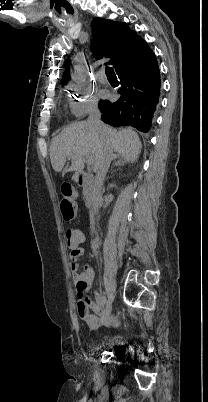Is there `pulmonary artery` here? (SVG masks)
Returning a JSON list of instances; mask_svg holds the SVG:
<instances>
[{
    "label": "pulmonary artery",
    "mask_w": 208,
    "mask_h": 402,
    "mask_svg": "<svg viewBox=\"0 0 208 402\" xmlns=\"http://www.w3.org/2000/svg\"><path fill=\"white\" fill-rule=\"evenodd\" d=\"M97 73L99 76H106L108 73V70L106 67H99L97 70Z\"/></svg>",
    "instance_id": "obj_1"
}]
</instances>
